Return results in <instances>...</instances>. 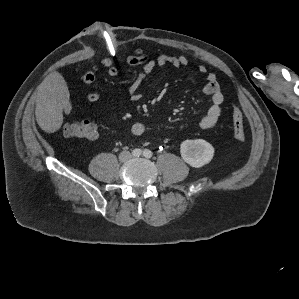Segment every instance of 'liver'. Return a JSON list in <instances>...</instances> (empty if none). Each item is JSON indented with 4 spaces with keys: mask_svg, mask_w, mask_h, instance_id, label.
<instances>
[{
    "mask_svg": "<svg viewBox=\"0 0 299 299\" xmlns=\"http://www.w3.org/2000/svg\"><path fill=\"white\" fill-rule=\"evenodd\" d=\"M72 109L70 93L64 77L59 72H51L38 86L35 107L36 121L40 128L53 133L63 123V111L69 114Z\"/></svg>",
    "mask_w": 299,
    "mask_h": 299,
    "instance_id": "obj_1",
    "label": "liver"
}]
</instances>
